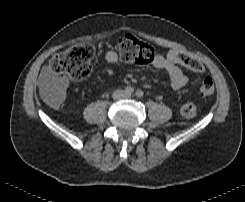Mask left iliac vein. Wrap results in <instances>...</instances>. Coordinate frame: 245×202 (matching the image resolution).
Segmentation results:
<instances>
[{"label": "left iliac vein", "instance_id": "4c4485c4", "mask_svg": "<svg viewBox=\"0 0 245 202\" xmlns=\"http://www.w3.org/2000/svg\"><path fill=\"white\" fill-rule=\"evenodd\" d=\"M131 95H129V94H126V97H130Z\"/></svg>", "mask_w": 245, "mask_h": 202}]
</instances>
